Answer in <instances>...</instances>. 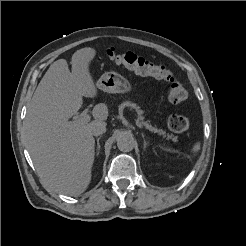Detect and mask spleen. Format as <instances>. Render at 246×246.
<instances>
[{"mask_svg": "<svg viewBox=\"0 0 246 246\" xmlns=\"http://www.w3.org/2000/svg\"><path fill=\"white\" fill-rule=\"evenodd\" d=\"M200 150V142H196L192 147V152L197 153Z\"/></svg>", "mask_w": 246, "mask_h": 246, "instance_id": "1", "label": "spleen"}]
</instances>
